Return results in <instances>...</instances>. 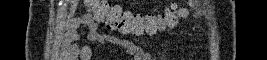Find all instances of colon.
<instances>
[{
  "instance_id": "5ec220e1",
  "label": "colon",
  "mask_w": 267,
  "mask_h": 60,
  "mask_svg": "<svg viewBox=\"0 0 267 60\" xmlns=\"http://www.w3.org/2000/svg\"><path fill=\"white\" fill-rule=\"evenodd\" d=\"M87 15L107 27L123 33L154 34L177 22L179 10L174 7L157 15L133 14L122 10L108 1L85 0Z\"/></svg>"
}]
</instances>
